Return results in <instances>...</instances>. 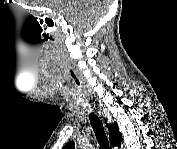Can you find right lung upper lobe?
<instances>
[{
    "instance_id": "right-lung-upper-lobe-1",
    "label": "right lung upper lobe",
    "mask_w": 177,
    "mask_h": 149,
    "mask_svg": "<svg viewBox=\"0 0 177 149\" xmlns=\"http://www.w3.org/2000/svg\"><path fill=\"white\" fill-rule=\"evenodd\" d=\"M109 127V139L111 146L121 147L122 134L119 132L117 123L107 124ZM65 149H74V142H69L64 146Z\"/></svg>"
}]
</instances>
